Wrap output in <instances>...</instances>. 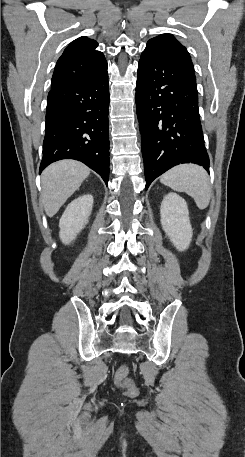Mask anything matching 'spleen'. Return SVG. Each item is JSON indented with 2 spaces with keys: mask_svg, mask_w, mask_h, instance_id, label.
I'll return each mask as SVG.
<instances>
[{
  "mask_svg": "<svg viewBox=\"0 0 245 457\" xmlns=\"http://www.w3.org/2000/svg\"><path fill=\"white\" fill-rule=\"evenodd\" d=\"M160 182L173 190L187 192L198 208H207L211 198V186L207 170L198 164H178L160 176Z\"/></svg>",
  "mask_w": 245,
  "mask_h": 457,
  "instance_id": "spleen-1",
  "label": "spleen"
}]
</instances>
